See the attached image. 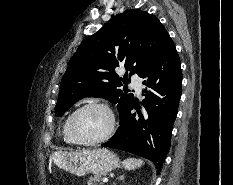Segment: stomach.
I'll return each mask as SVG.
<instances>
[{
    "instance_id": "0dacf381",
    "label": "stomach",
    "mask_w": 233,
    "mask_h": 185,
    "mask_svg": "<svg viewBox=\"0 0 233 185\" xmlns=\"http://www.w3.org/2000/svg\"><path fill=\"white\" fill-rule=\"evenodd\" d=\"M60 169L77 176L106 174L119 166L118 157L106 148L85 151H57L51 156Z\"/></svg>"
}]
</instances>
